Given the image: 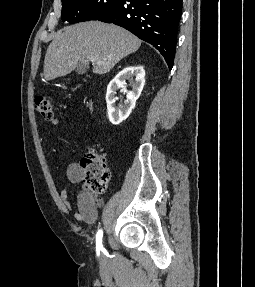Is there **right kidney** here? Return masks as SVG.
Here are the masks:
<instances>
[{"instance_id":"right-kidney-1","label":"right kidney","mask_w":255,"mask_h":287,"mask_svg":"<svg viewBox=\"0 0 255 287\" xmlns=\"http://www.w3.org/2000/svg\"><path fill=\"white\" fill-rule=\"evenodd\" d=\"M135 78L133 88L131 92H128L125 88L126 80H132ZM145 84V72L143 66H127L122 72H119L113 80H111L109 86H107L106 102L108 110V118L111 124L117 126L121 124L123 120H126L130 116L133 108H135L136 100H138L143 86ZM119 88H123L124 92H127V100L124 106L117 108L115 102L117 100L115 94Z\"/></svg>"}]
</instances>
